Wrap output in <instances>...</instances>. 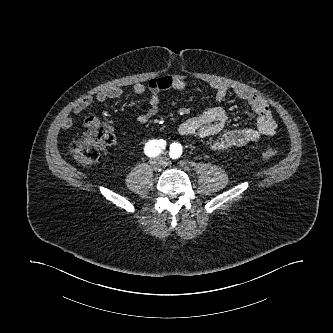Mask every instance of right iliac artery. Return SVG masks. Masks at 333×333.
<instances>
[{
  "mask_svg": "<svg viewBox=\"0 0 333 333\" xmlns=\"http://www.w3.org/2000/svg\"><path fill=\"white\" fill-rule=\"evenodd\" d=\"M166 147L164 140H149L144 147V153L148 157H156L161 153V149Z\"/></svg>",
  "mask_w": 333,
  "mask_h": 333,
  "instance_id": "right-iliac-artery-1",
  "label": "right iliac artery"
}]
</instances>
